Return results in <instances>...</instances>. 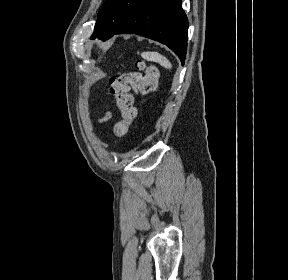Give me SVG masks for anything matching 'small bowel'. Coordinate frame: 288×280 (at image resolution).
<instances>
[{"mask_svg":"<svg viewBox=\"0 0 288 280\" xmlns=\"http://www.w3.org/2000/svg\"><path fill=\"white\" fill-rule=\"evenodd\" d=\"M111 118V113L106 111L105 114L99 119V122H106Z\"/></svg>","mask_w":288,"mask_h":280,"instance_id":"small-bowel-1","label":"small bowel"}]
</instances>
